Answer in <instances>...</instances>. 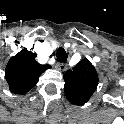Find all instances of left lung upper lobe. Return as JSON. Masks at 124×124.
<instances>
[{"label":"left lung upper lobe","mask_w":124,"mask_h":124,"mask_svg":"<svg viewBox=\"0 0 124 124\" xmlns=\"http://www.w3.org/2000/svg\"><path fill=\"white\" fill-rule=\"evenodd\" d=\"M64 90L67 100L71 104H85L98 85V75L95 69L86 72L79 63L73 71L69 70L64 75Z\"/></svg>","instance_id":"1"}]
</instances>
